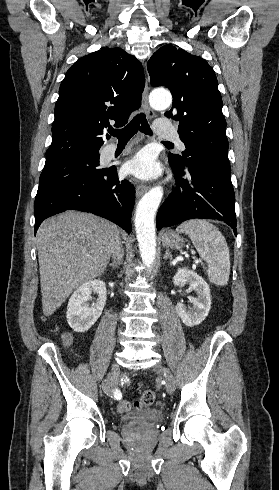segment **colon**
<instances>
[{
	"label": "colon",
	"mask_w": 279,
	"mask_h": 490,
	"mask_svg": "<svg viewBox=\"0 0 279 490\" xmlns=\"http://www.w3.org/2000/svg\"><path fill=\"white\" fill-rule=\"evenodd\" d=\"M61 337L66 343L70 341V335L68 333L62 332ZM154 400L155 392L153 390H146L143 392L141 398L135 402L126 399L119 401L115 410L119 414H125L133 408L149 407L153 404Z\"/></svg>",
	"instance_id": "1"
}]
</instances>
